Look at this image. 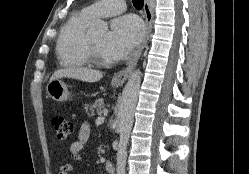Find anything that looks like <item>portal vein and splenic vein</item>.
Listing matches in <instances>:
<instances>
[{"label": "portal vein and splenic vein", "instance_id": "obj_1", "mask_svg": "<svg viewBox=\"0 0 249 174\" xmlns=\"http://www.w3.org/2000/svg\"><path fill=\"white\" fill-rule=\"evenodd\" d=\"M104 122V117H102V116H99L97 119H96V124L97 125H100V124H102Z\"/></svg>", "mask_w": 249, "mask_h": 174}]
</instances>
